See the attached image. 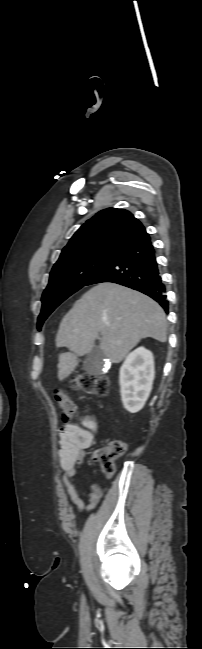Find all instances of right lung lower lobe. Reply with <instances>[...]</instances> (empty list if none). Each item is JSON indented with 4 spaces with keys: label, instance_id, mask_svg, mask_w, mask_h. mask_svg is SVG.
<instances>
[{
    "label": "right lung lower lobe",
    "instance_id": "obj_1",
    "mask_svg": "<svg viewBox=\"0 0 202 649\" xmlns=\"http://www.w3.org/2000/svg\"><path fill=\"white\" fill-rule=\"evenodd\" d=\"M113 282L138 290L168 312L166 288L161 279L149 235L115 254L85 284Z\"/></svg>",
    "mask_w": 202,
    "mask_h": 649
}]
</instances>
